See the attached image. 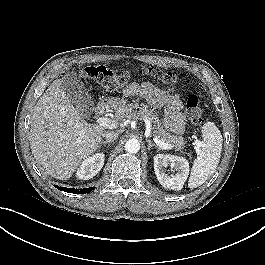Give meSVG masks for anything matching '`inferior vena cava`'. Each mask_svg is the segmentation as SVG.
<instances>
[{
	"label": "inferior vena cava",
	"instance_id": "inferior-vena-cava-1",
	"mask_svg": "<svg viewBox=\"0 0 265 265\" xmlns=\"http://www.w3.org/2000/svg\"><path fill=\"white\" fill-rule=\"evenodd\" d=\"M102 136L107 140H115L118 138V133L113 131H107L102 134Z\"/></svg>",
	"mask_w": 265,
	"mask_h": 265
}]
</instances>
